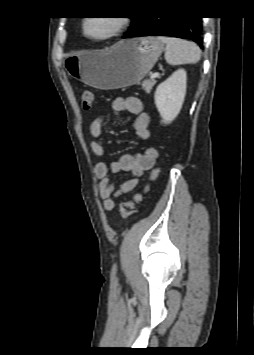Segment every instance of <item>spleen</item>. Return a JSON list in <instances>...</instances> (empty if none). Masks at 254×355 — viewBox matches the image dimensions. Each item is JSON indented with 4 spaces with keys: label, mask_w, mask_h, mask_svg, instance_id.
I'll list each match as a JSON object with an SVG mask.
<instances>
[{
    "label": "spleen",
    "mask_w": 254,
    "mask_h": 355,
    "mask_svg": "<svg viewBox=\"0 0 254 355\" xmlns=\"http://www.w3.org/2000/svg\"><path fill=\"white\" fill-rule=\"evenodd\" d=\"M158 38L166 44L165 60L170 65L196 64L201 58V50L193 42L164 36Z\"/></svg>",
    "instance_id": "obj_1"
}]
</instances>
